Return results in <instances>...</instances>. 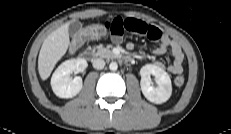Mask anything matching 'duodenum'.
Instances as JSON below:
<instances>
[{"label":"duodenum","instance_id":"duodenum-1","mask_svg":"<svg viewBox=\"0 0 231 134\" xmlns=\"http://www.w3.org/2000/svg\"><path fill=\"white\" fill-rule=\"evenodd\" d=\"M80 56L83 59H91L92 58V55L89 52H87V51L81 52ZM112 57L120 59V60H123L126 63H130L131 62V57H129L127 55L113 54Z\"/></svg>","mask_w":231,"mask_h":134}]
</instances>
